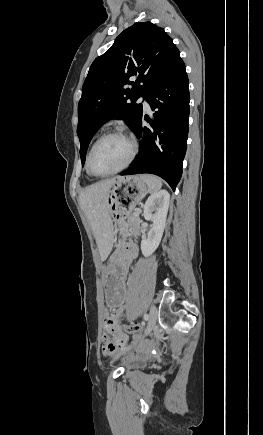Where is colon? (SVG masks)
<instances>
[{"mask_svg":"<svg viewBox=\"0 0 263 435\" xmlns=\"http://www.w3.org/2000/svg\"><path fill=\"white\" fill-rule=\"evenodd\" d=\"M123 327V332L129 335H142L144 332L143 330L146 328L145 324H126L124 321L120 323ZM126 341V339H124ZM102 344H107V339H102ZM125 349H128L127 347Z\"/></svg>","mask_w":263,"mask_h":435,"instance_id":"5ec220e1","label":"colon"}]
</instances>
